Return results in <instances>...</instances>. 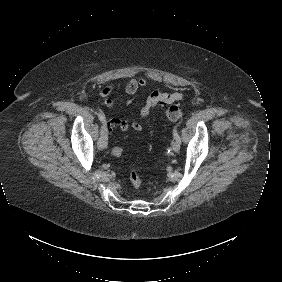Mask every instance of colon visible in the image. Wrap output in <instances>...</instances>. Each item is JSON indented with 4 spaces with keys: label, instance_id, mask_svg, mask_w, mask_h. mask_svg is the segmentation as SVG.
I'll return each instance as SVG.
<instances>
[{
    "label": "colon",
    "instance_id": "obj_1",
    "mask_svg": "<svg viewBox=\"0 0 282 282\" xmlns=\"http://www.w3.org/2000/svg\"><path fill=\"white\" fill-rule=\"evenodd\" d=\"M166 116L171 123H178L181 120L182 112L178 106H169L166 109ZM125 151L121 147H113L111 154L115 157H122ZM129 180L135 189H139L142 186L140 174L137 170L133 169L129 173Z\"/></svg>",
    "mask_w": 282,
    "mask_h": 282
}]
</instances>
